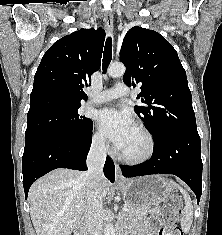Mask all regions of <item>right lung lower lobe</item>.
<instances>
[{
  "instance_id": "1",
  "label": "right lung lower lobe",
  "mask_w": 222,
  "mask_h": 235,
  "mask_svg": "<svg viewBox=\"0 0 222 235\" xmlns=\"http://www.w3.org/2000/svg\"><path fill=\"white\" fill-rule=\"evenodd\" d=\"M92 129L93 126L85 137L78 140L50 139L24 149L22 166L26 199L31 184L51 170H87L86 158L92 142ZM104 174L114 182L115 166L109 157L104 165Z\"/></svg>"
}]
</instances>
